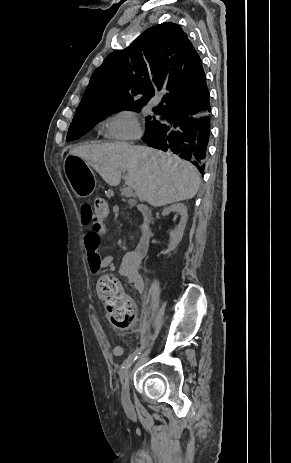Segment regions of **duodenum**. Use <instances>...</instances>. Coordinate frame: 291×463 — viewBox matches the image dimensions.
Returning a JSON list of instances; mask_svg holds the SVG:
<instances>
[{"label": "duodenum", "instance_id": "duodenum-1", "mask_svg": "<svg viewBox=\"0 0 291 463\" xmlns=\"http://www.w3.org/2000/svg\"><path fill=\"white\" fill-rule=\"evenodd\" d=\"M137 209L141 212L144 221L146 223H149L152 219L153 212L150 209H148V206L145 203H140L137 206ZM151 235L152 234L150 229L145 228L135 248V251L139 256L144 257L147 254L150 246Z\"/></svg>", "mask_w": 291, "mask_h": 463}]
</instances>
